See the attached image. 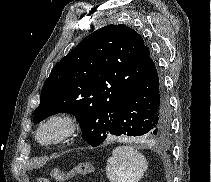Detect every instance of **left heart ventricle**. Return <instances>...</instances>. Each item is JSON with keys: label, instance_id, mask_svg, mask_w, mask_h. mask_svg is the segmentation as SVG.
<instances>
[{"label": "left heart ventricle", "instance_id": "1", "mask_svg": "<svg viewBox=\"0 0 211 182\" xmlns=\"http://www.w3.org/2000/svg\"><path fill=\"white\" fill-rule=\"evenodd\" d=\"M61 130L60 126H51L49 129L45 131V136H53L57 134Z\"/></svg>", "mask_w": 211, "mask_h": 182}]
</instances>
